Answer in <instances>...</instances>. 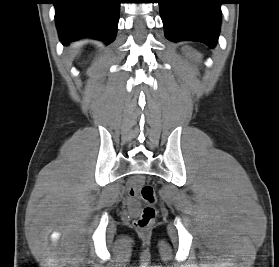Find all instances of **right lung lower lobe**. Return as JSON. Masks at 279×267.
I'll list each match as a JSON object with an SVG mask.
<instances>
[{
	"label": "right lung lower lobe",
	"mask_w": 279,
	"mask_h": 267,
	"mask_svg": "<svg viewBox=\"0 0 279 267\" xmlns=\"http://www.w3.org/2000/svg\"><path fill=\"white\" fill-rule=\"evenodd\" d=\"M55 19L63 45L80 37L114 41L120 0H54Z\"/></svg>",
	"instance_id": "right-lung-lower-lobe-1"
}]
</instances>
